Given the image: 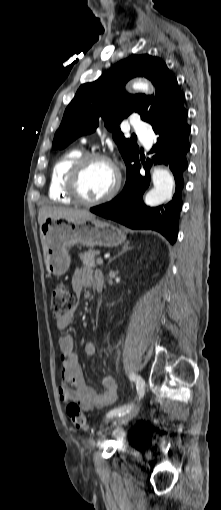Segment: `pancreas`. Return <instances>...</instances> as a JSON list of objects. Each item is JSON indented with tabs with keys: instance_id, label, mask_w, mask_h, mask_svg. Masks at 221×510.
Wrapping results in <instances>:
<instances>
[{
	"instance_id": "cf45deb5",
	"label": "pancreas",
	"mask_w": 221,
	"mask_h": 510,
	"mask_svg": "<svg viewBox=\"0 0 221 510\" xmlns=\"http://www.w3.org/2000/svg\"><path fill=\"white\" fill-rule=\"evenodd\" d=\"M99 254V251L90 249L84 253H80L79 258L83 262L84 266L93 269L96 267L95 257Z\"/></svg>"
}]
</instances>
